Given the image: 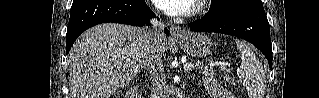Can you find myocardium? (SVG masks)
I'll use <instances>...</instances> for the list:
<instances>
[{
  "label": "myocardium",
  "instance_id": "obj_1",
  "mask_svg": "<svg viewBox=\"0 0 319 98\" xmlns=\"http://www.w3.org/2000/svg\"><path fill=\"white\" fill-rule=\"evenodd\" d=\"M203 3L204 1H199L196 5H195V12H198L201 10V8L203 7Z\"/></svg>",
  "mask_w": 319,
  "mask_h": 98
}]
</instances>
